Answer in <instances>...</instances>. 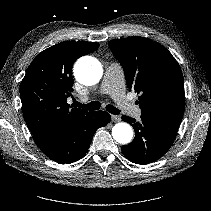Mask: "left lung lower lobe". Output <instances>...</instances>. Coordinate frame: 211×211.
<instances>
[{
  "label": "left lung lower lobe",
  "mask_w": 211,
  "mask_h": 211,
  "mask_svg": "<svg viewBox=\"0 0 211 211\" xmlns=\"http://www.w3.org/2000/svg\"><path fill=\"white\" fill-rule=\"evenodd\" d=\"M135 130L134 140L122 146L123 155L136 164H148L161 158L172 146L182 117L173 115H141L136 121L122 116Z\"/></svg>",
  "instance_id": "obj_1"
}]
</instances>
